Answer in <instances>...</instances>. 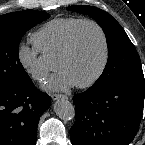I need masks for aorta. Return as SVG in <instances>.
<instances>
[{"mask_svg": "<svg viewBox=\"0 0 145 145\" xmlns=\"http://www.w3.org/2000/svg\"><path fill=\"white\" fill-rule=\"evenodd\" d=\"M54 111L56 115L64 121L72 120L75 117V107L70 101L63 97L54 104Z\"/></svg>", "mask_w": 145, "mask_h": 145, "instance_id": "aorta-1", "label": "aorta"}]
</instances>
